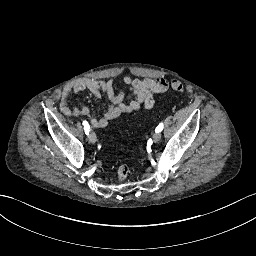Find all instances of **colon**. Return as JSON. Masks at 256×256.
Masks as SVG:
<instances>
[{
	"label": "colon",
	"instance_id": "5ec220e1",
	"mask_svg": "<svg viewBox=\"0 0 256 256\" xmlns=\"http://www.w3.org/2000/svg\"><path fill=\"white\" fill-rule=\"evenodd\" d=\"M172 88L177 92H182L184 90V86L180 82H174L172 84ZM130 173V167L126 164H122L118 169V177L120 180L125 179Z\"/></svg>",
	"mask_w": 256,
	"mask_h": 256
}]
</instances>
